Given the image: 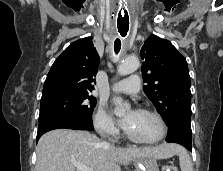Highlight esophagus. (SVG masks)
Segmentation results:
<instances>
[{"label":"esophagus","mask_w":223,"mask_h":171,"mask_svg":"<svg viewBox=\"0 0 223 171\" xmlns=\"http://www.w3.org/2000/svg\"><path fill=\"white\" fill-rule=\"evenodd\" d=\"M116 29L121 36H126L128 31H131V17L130 13H115Z\"/></svg>","instance_id":"1"}]
</instances>
